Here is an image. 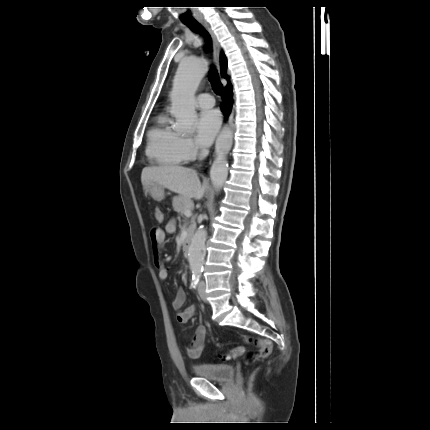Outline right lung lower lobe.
<instances>
[{
  "mask_svg": "<svg viewBox=\"0 0 430 430\" xmlns=\"http://www.w3.org/2000/svg\"><path fill=\"white\" fill-rule=\"evenodd\" d=\"M232 103V85L228 84L224 90L222 103V111L224 112L226 117L230 114Z\"/></svg>",
  "mask_w": 430,
  "mask_h": 430,
  "instance_id": "right-lung-lower-lobe-1",
  "label": "right lung lower lobe"
}]
</instances>
